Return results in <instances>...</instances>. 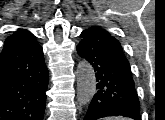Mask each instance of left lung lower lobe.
I'll use <instances>...</instances> for the list:
<instances>
[{
  "mask_svg": "<svg viewBox=\"0 0 165 120\" xmlns=\"http://www.w3.org/2000/svg\"><path fill=\"white\" fill-rule=\"evenodd\" d=\"M81 36L78 54L92 65L97 81V91L84 120L118 115L140 120L130 65L119 41L97 26L84 30Z\"/></svg>",
  "mask_w": 165,
  "mask_h": 120,
  "instance_id": "0a47b994",
  "label": "left lung lower lobe"
}]
</instances>
